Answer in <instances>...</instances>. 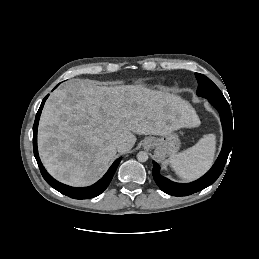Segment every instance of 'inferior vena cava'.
I'll list each match as a JSON object with an SVG mask.
<instances>
[{
    "mask_svg": "<svg viewBox=\"0 0 259 259\" xmlns=\"http://www.w3.org/2000/svg\"><path fill=\"white\" fill-rule=\"evenodd\" d=\"M123 144H124V141H123L122 139L117 138V139L114 140V145H115L117 148L122 147Z\"/></svg>",
    "mask_w": 259,
    "mask_h": 259,
    "instance_id": "602c4592",
    "label": "inferior vena cava"
}]
</instances>
